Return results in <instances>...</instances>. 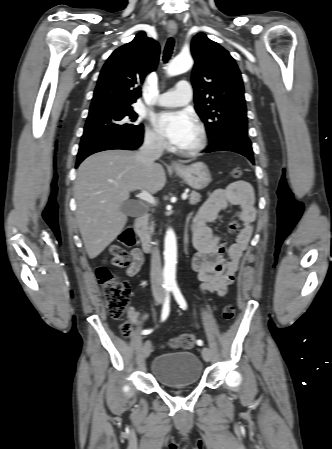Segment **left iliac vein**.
<instances>
[{
    "mask_svg": "<svg viewBox=\"0 0 332 449\" xmlns=\"http://www.w3.org/2000/svg\"><path fill=\"white\" fill-rule=\"evenodd\" d=\"M202 356H203V359H204L206 362H209V361L211 360L212 354H211V351H210V349H209L208 347H204V348L202 349Z\"/></svg>",
    "mask_w": 332,
    "mask_h": 449,
    "instance_id": "4c4485c4",
    "label": "left iliac vein"
}]
</instances>
